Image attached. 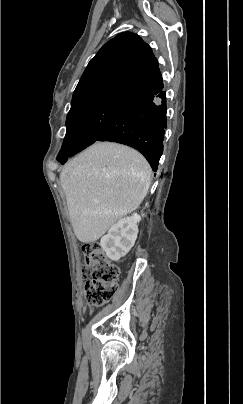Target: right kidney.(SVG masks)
Wrapping results in <instances>:
<instances>
[{"label":"right kidney","mask_w":243,"mask_h":404,"mask_svg":"<svg viewBox=\"0 0 243 404\" xmlns=\"http://www.w3.org/2000/svg\"><path fill=\"white\" fill-rule=\"evenodd\" d=\"M141 220L139 214H132L128 218H122L110 228L108 234L101 238L100 246L106 252L110 260L118 262L124 258L137 240L138 224Z\"/></svg>","instance_id":"right-kidney-1"}]
</instances>
